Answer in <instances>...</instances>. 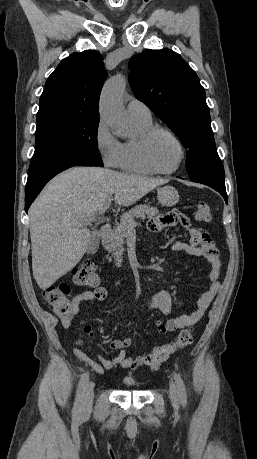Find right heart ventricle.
<instances>
[{
    "label": "right heart ventricle",
    "instance_id": "obj_1",
    "mask_svg": "<svg viewBox=\"0 0 257 459\" xmlns=\"http://www.w3.org/2000/svg\"><path fill=\"white\" fill-rule=\"evenodd\" d=\"M137 129V135L121 143V155L117 167L124 172L149 175L153 171L144 163L140 153V137L147 129L153 126L152 119L131 117Z\"/></svg>",
    "mask_w": 257,
    "mask_h": 459
}]
</instances>
